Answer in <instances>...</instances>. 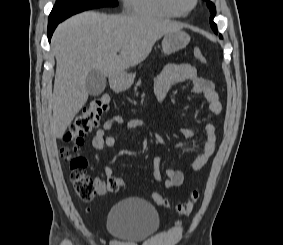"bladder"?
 Wrapping results in <instances>:
<instances>
[{
	"mask_svg": "<svg viewBox=\"0 0 283 245\" xmlns=\"http://www.w3.org/2000/svg\"><path fill=\"white\" fill-rule=\"evenodd\" d=\"M107 227L110 235L117 240L139 242L159 230L160 216L149 202L127 198L110 209Z\"/></svg>",
	"mask_w": 283,
	"mask_h": 245,
	"instance_id": "1",
	"label": "bladder"
}]
</instances>
